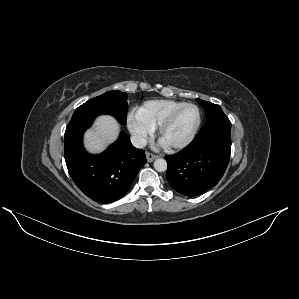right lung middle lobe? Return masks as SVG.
<instances>
[{
	"label": "right lung middle lobe",
	"instance_id": "obj_1",
	"mask_svg": "<svg viewBox=\"0 0 299 299\" xmlns=\"http://www.w3.org/2000/svg\"><path fill=\"white\" fill-rule=\"evenodd\" d=\"M127 109V95L124 92L108 91L79 106L71 119L109 114L125 125Z\"/></svg>",
	"mask_w": 299,
	"mask_h": 299
}]
</instances>
